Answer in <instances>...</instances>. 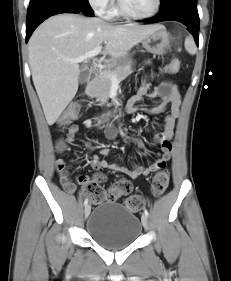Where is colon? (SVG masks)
Wrapping results in <instances>:
<instances>
[{
  "mask_svg": "<svg viewBox=\"0 0 231 281\" xmlns=\"http://www.w3.org/2000/svg\"><path fill=\"white\" fill-rule=\"evenodd\" d=\"M180 69V61L178 59L171 60L165 67L162 68V72L168 74H175ZM155 74V73H152ZM145 77L140 85L141 86L146 82ZM79 105L73 103L68 106V108L63 113L60 123L62 125L68 124L72 119H74L79 112ZM57 149L59 151H63L65 149V144L62 141H59L57 144ZM169 184V172L168 170H161L155 174L151 184V193L153 196L162 195L167 189ZM132 189V185L128 180H120L116 182L114 185L109 187L107 190H104L101 186L100 177H97L95 180L90 181L87 185H85V192L89 195L91 201L93 203H100L105 199L109 200H117L122 196L128 194ZM145 200L142 196L133 195L127 198L125 201V206L133 211L138 212L143 207Z\"/></svg>",
  "mask_w": 231,
  "mask_h": 281,
  "instance_id": "obj_1",
  "label": "colon"
}]
</instances>
